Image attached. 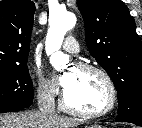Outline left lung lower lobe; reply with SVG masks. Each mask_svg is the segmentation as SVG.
I'll return each instance as SVG.
<instances>
[{"label":"left lung lower lobe","mask_w":142,"mask_h":128,"mask_svg":"<svg viewBox=\"0 0 142 128\" xmlns=\"http://www.w3.org/2000/svg\"><path fill=\"white\" fill-rule=\"evenodd\" d=\"M117 122H130L142 126V119H117Z\"/></svg>","instance_id":"left-lung-lower-lobe-1"}]
</instances>
